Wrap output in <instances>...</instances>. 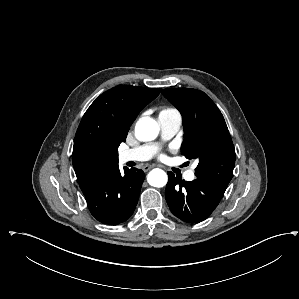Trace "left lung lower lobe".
I'll return each instance as SVG.
<instances>
[{"label":"left lung lower lobe","instance_id":"0a47b994","mask_svg":"<svg viewBox=\"0 0 299 299\" xmlns=\"http://www.w3.org/2000/svg\"><path fill=\"white\" fill-rule=\"evenodd\" d=\"M165 197L171 212L187 223L205 220L217 207L226 189L197 177L193 181L181 180L168 172Z\"/></svg>","mask_w":299,"mask_h":299}]
</instances>
